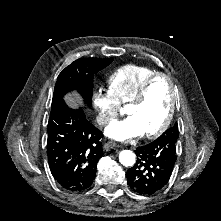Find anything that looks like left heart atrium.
<instances>
[{
    "label": "left heart atrium",
    "instance_id": "1",
    "mask_svg": "<svg viewBox=\"0 0 221 221\" xmlns=\"http://www.w3.org/2000/svg\"><path fill=\"white\" fill-rule=\"evenodd\" d=\"M106 135L116 140L125 141L142 136L143 133L135 121L129 117L123 121L110 124L106 128Z\"/></svg>",
    "mask_w": 221,
    "mask_h": 221
}]
</instances>
